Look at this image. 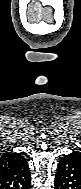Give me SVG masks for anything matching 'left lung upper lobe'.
<instances>
[{
	"mask_svg": "<svg viewBox=\"0 0 81 189\" xmlns=\"http://www.w3.org/2000/svg\"><path fill=\"white\" fill-rule=\"evenodd\" d=\"M69 155H71L77 162H79L81 164V153L74 151Z\"/></svg>",
	"mask_w": 81,
	"mask_h": 189,
	"instance_id": "5c2ea615",
	"label": "left lung upper lobe"
}]
</instances>
